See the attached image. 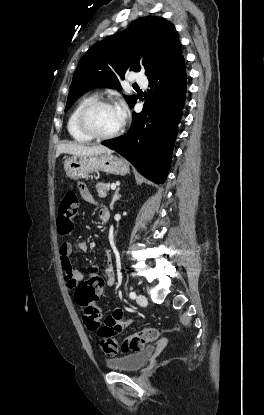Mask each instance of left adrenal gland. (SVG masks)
<instances>
[{"instance_id": "1", "label": "left adrenal gland", "mask_w": 264, "mask_h": 415, "mask_svg": "<svg viewBox=\"0 0 264 415\" xmlns=\"http://www.w3.org/2000/svg\"><path fill=\"white\" fill-rule=\"evenodd\" d=\"M120 187H118L113 195V198L110 203V209L113 210L114 203L121 197L119 194Z\"/></svg>"}]
</instances>
